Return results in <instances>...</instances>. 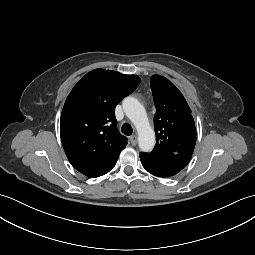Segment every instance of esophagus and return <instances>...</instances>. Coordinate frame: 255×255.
I'll return each instance as SVG.
<instances>
[{
	"mask_svg": "<svg viewBox=\"0 0 255 255\" xmlns=\"http://www.w3.org/2000/svg\"><path fill=\"white\" fill-rule=\"evenodd\" d=\"M129 140H130L132 145H136L137 144V136L136 135L130 136Z\"/></svg>",
	"mask_w": 255,
	"mask_h": 255,
	"instance_id": "1",
	"label": "esophagus"
}]
</instances>
